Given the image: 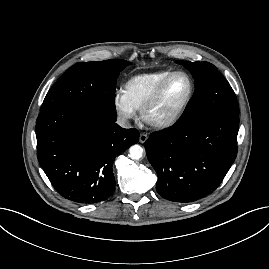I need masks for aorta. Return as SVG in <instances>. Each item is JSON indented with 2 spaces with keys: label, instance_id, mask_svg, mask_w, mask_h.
Returning a JSON list of instances; mask_svg holds the SVG:
<instances>
[{
  "label": "aorta",
  "instance_id": "1",
  "mask_svg": "<svg viewBox=\"0 0 269 269\" xmlns=\"http://www.w3.org/2000/svg\"><path fill=\"white\" fill-rule=\"evenodd\" d=\"M143 156V148L140 145H133L129 149V157L133 160H139Z\"/></svg>",
  "mask_w": 269,
  "mask_h": 269
}]
</instances>
